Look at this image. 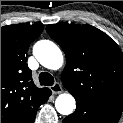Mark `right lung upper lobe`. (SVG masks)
Masks as SVG:
<instances>
[{
	"label": "right lung upper lobe",
	"mask_w": 123,
	"mask_h": 123,
	"mask_svg": "<svg viewBox=\"0 0 123 123\" xmlns=\"http://www.w3.org/2000/svg\"><path fill=\"white\" fill-rule=\"evenodd\" d=\"M43 26L1 27V123H24L43 103L48 88H38L28 68L29 45Z\"/></svg>",
	"instance_id": "cb5924a9"
}]
</instances>
